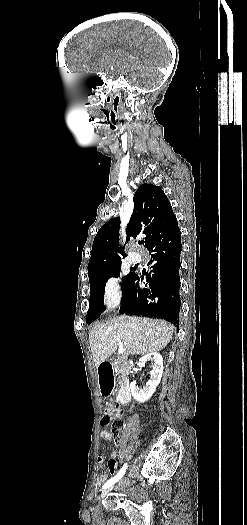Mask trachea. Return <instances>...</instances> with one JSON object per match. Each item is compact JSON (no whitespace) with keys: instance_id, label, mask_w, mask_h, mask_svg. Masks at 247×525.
I'll list each match as a JSON object with an SVG mask.
<instances>
[{"instance_id":"3493384b","label":"trachea","mask_w":247,"mask_h":525,"mask_svg":"<svg viewBox=\"0 0 247 525\" xmlns=\"http://www.w3.org/2000/svg\"><path fill=\"white\" fill-rule=\"evenodd\" d=\"M140 244H143L144 242H139Z\"/></svg>"}]
</instances>
